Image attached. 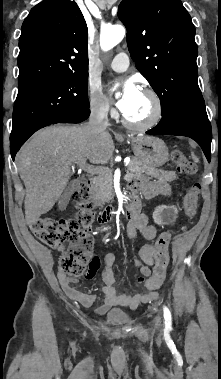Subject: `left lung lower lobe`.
<instances>
[{"label": "left lung lower lobe", "mask_w": 221, "mask_h": 379, "mask_svg": "<svg viewBox=\"0 0 221 379\" xmlns=\"http://www.w3.org/2000/svg\"><path fill=\"white\" fill-rule=\"evenodd\" d=\"M146 134H163L187 136L194 139L202 148L208 161L211 158V124L207 114H200L183 109H173L162 115L156 127Z\"/></svg>", "instance_id": "0a47b994"}]
</instances>
